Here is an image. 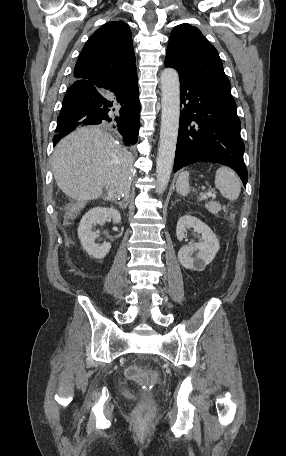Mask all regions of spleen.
<instances>
[{
  "instance_id": "3e777b00",
  "label": "spleen",
  "mask_w": 286,
  "mask_h": 456,
  "mask_svg": "<svg viewBox=\"0 0 286 456\" xmlns=\"http://www.w3.org/2000/svg\"><path fill=\"white\" fill-rule=\"evenodd\" d=\"M215 186L221 192L223 197L229 200H236L241 191V181L236 173L228 167H221L216 171ZM176 190L182 196H187L189 193V172L183 171L180 173L177 182Z\"/></svg>"
}]
</instances>
